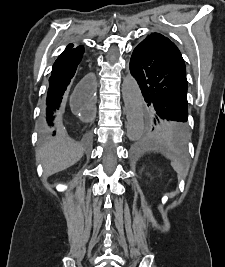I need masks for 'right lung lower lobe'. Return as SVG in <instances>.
<instances>
[{
  "mask_svg": "<svg viewBox=\"0 0 225 267\" xmlns=\"http://www.w3.org/2000/svg\"><path fill=\"white\" fill-rule=\"evenodd\" d=\"M87 57L84 56L83 46L69 44L59 55L52 67L49 78V88L44 113V135H54L60 127L57 113L60 110L62 100L66 97L76 78L84 72ZM89 86L88 97H91L92 80L87 75L83 79Z\"/></svg>",
  "mask_w": 225,
  "mask_h": 267,
  "instance_id": "right-lung-lower-lobe-1",
  "label": "right lung lower lobe"
}]
</instances>
